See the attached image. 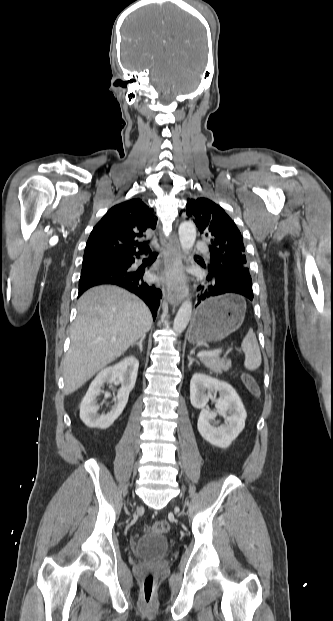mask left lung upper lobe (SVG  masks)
I'll return each mask as SVG.
<instances>
[{"label": "left lung upper lobe", "mask_w": 333, "mask_h": 621, "mask_svg": "<svg viewBox=\"0 0 333 621\" xmlns=\"http://www.w3.org/2000/svg\"><path fill=\"white\" fill-rule=\"evenodd\" d=\"M185 211L200 233L210 238L209 269L222 264L249 273L242 235L223 208L207 198H194L188 199Z\"/></svg>", "instance_id": "1"}]
</instances>
